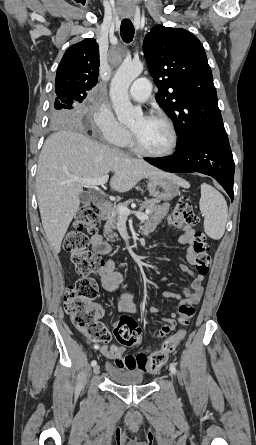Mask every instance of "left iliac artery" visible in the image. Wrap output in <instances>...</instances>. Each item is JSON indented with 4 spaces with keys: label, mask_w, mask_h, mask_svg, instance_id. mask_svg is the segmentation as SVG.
Returning <instances> with one entry per match:
<instances>
[{
    "label": "left iliac artery",
    "mask_w": 256,
    "mask_h": 445,
    "mask_svg": "<svg viewBox=\"0 0 256 445\" xmlns=\"http://www.w3.org/2000/svg\"><path fill=\"white\" fill-rule=\"evenodd\" d=\"M170 370L175 374L176 373V368L174 366V364H170Z\"/></svg>",
    "instance_id": "1"
}]
</instances>
